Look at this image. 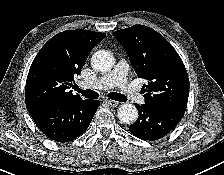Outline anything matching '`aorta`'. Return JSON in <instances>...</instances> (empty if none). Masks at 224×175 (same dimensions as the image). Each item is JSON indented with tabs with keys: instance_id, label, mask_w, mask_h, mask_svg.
<instances>
[{
	"instance_id": "aorta-1",
	"label": "aorta",
	"mask_w": 224,
	"mask_h": 175,
	"mask_svg": "<svg viewBox=\"0 0 224 175\" xmlns=\"http://www.w3.org/2000/svg\"><path fill=\"white\" fill-rule=\"evenodd\" d=\"M91 65L99 72H108L114 66V57L106 50H99L92 55ZM117 117L123 123H133L138 118V110L132 104H122L118 108Z\"/></svg>"
}]
</instances>
